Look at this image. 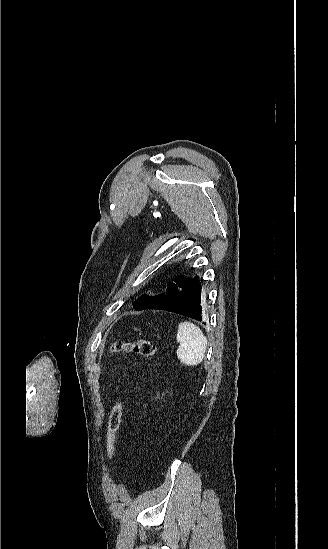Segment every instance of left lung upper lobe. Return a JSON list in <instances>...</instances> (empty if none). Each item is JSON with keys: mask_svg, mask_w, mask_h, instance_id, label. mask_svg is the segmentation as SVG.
Returning <instances> with one entry per match:
<instances>
[{"mask_svg": "<svg viewBox=\"0 0 328 549\" xmlns=\"http://www.w3.org/2000/svg\"><path fill=\"white\" fill-rule=\"evenodd\" d=\"M182 279H183V277H181V276L180 277H175L173 282L168 283V285H166V287L163 288L161 294H158V295L153 296V297H150V296H147V295L141 296L135 302L137 308L141 309L145 305H148V304H151V303H156L157 301H160L161 299L162 300H164V299L167 300L171 297L172 298L176 297V295L178 293L177 292L178 283L180 281H182Z\"/></svg>", "mask_w": 328, "mask_h": 549, "instance_id": "1", "label": "left lung upper lobe"}]
</instances>
